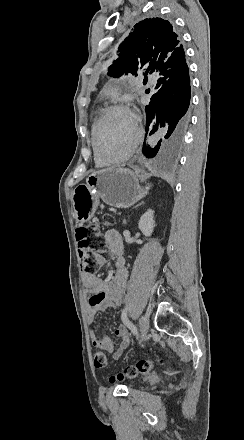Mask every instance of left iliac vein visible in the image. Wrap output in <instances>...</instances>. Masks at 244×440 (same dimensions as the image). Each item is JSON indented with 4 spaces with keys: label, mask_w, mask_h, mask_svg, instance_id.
Wrapping results in <instances>:
<instances>
[{
    "label": "left iliac vein",
    "mask_w": 244,
    "mask_h": 440,
    "mask_svg": "<svg viewBox=\"0 0 244 440\" xmlns=\"http://www.w3.org/2000/svg\"><path fill=\"white\" fill-rule=\"evenodd\" d=\"M139 329H140V343L146 338V334L149 330V316L143 315L139 320Z\"/></svg>",
    "instance_id": "1"
}]
</instances>
